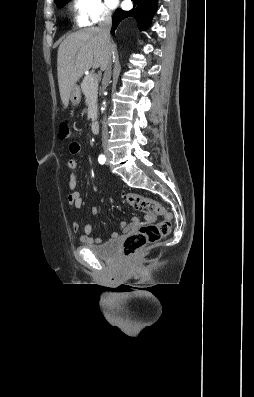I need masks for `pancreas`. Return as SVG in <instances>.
<instances>
[{
  "label": "pancreas",
  "instance_id": "obj_1",
  "mask_svg": "<svg viewBox=\"0 0 254 397\" xmlns=\"http://www.w3.org/2000/svg\"><path fill=\"white\" fill-rule=\"evenodd\" d=\"M98 81L99 79L97 77L90 74L85 76L81 83V89L88 105V119L91 120H94L97 114Z\"/></svg>",
  "mask_w": 254,
  "mask_h": 397
}]
</instances>
